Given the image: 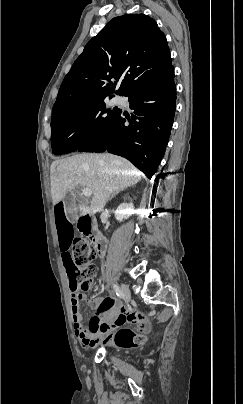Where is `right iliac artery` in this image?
I'll return each instance as SVG.
<instances>
[{
    "label": "right iliac artery",
    "instance_id": "1",
    "mask_svg": "<svg viewBox=\"0 0 243 404\" xmlns=\"http://www.w3.org/2000/svg\"><path fill=\"white\" fill-rule=\"evenodd\" d=\"M113 288H114V291L116 292L117 296H119L120 298H123L124 295H123V292L120 289V287L117 285H113Z\"/></svg>",
    "mask_w": 243,
    "mask_h": 404
}]
</instances>
